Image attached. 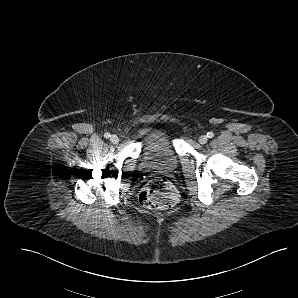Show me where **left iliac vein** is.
I'll list each match as a JSON object with an SVG mask.
<instances>
[{
	"mask_svg": "<svg viewBox=\"0 0 298 298\" xmlns=\"http://www.w3.org/2000/svg\"><path fill=\"white\" fill-rule=\"evenodd\" d=\"M198 141L200 144H205L208 141V138H207V136L202 135L199 137Z\"/></svg>",
	"mask_w": 298,
	"mask_h": 298,
	"instance_id": "1",
	"label": "left iliac vein"
}]
</instances>
